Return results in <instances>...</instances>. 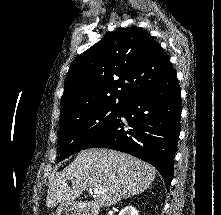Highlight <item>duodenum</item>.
<instances>
[{
    "mask_svg": "<svg viewBox=\"0 0 221 215\" xmlns=\"http://www.w3.org/2000/svg\"><path fill=\"white\" fill-rule=\"evenodd\" d=\"M80 215H98V211L95 207H89L84 210Z\"/></svg>",
    "mask_w": 221,
    "mask_h": 215,
    "instance_id": "duodenum-1",
    "label": "duodenum"
}]
</instances>
